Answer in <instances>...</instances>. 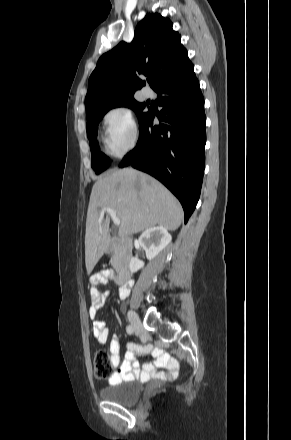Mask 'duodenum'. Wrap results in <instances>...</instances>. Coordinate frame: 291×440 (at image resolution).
Instances as JSON below:
<instances>
[{
    "label": "duodenum",
    "mask_w": 291,
    "mask_h": 440,
    "mask_svg": "<svg viewBox=\"0 0 291 440\" xmlns=\"http://www.w3.org/2000/svg\"><path fill=\"white\" fill-rule=\"evenodd\" d=\"M123 248L117 258L116 272L117 280L125 284L131 281L133 241L129 238H119Z\"/></svg>",
    "instance_id": "obj_1"
}]
</instances>
